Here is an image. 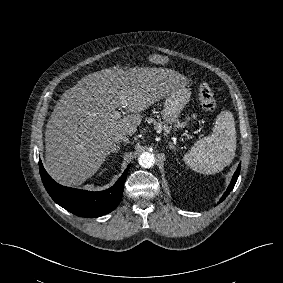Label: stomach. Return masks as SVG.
Returning a JSON list of instances; mask_svg holds the SVG:
<instances>
[{
    "label": "stomach",
    "instance_id": "obj_1",
    "mask_svg": "<svg viewBox=\"0 0 283 283\" xmlns=\"http://www.w3.org/2000/svg\"><path fill=\"white\" fill-rule=\"evenodd\" d=\"M191 97V91L186 84H181L172 90L166 97L162 110L163 120L168 124H177L180 114Z\"/></svg>",
    "mask_w": 283,
    "mask_h": 283
}]
</instances>
